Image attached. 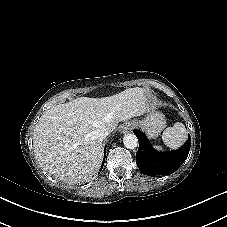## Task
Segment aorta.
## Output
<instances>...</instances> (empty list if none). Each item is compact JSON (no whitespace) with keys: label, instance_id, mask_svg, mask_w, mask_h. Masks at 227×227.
<instances>
[{"label":"aorta","instance_id":"762f6f07","mask_svg":"<svg viewBox=\"0 0 227 227\" xmlns=\"http://www.w3.org/2000/svg\"><path fill=\"white\" fill-rule=\"evenodd\" d=\"M124 146L128 149H134L138 145V139L134 134H126L123 137Z\"/></svg>","mask_w":227,"mask_h":227}]
</instances>
